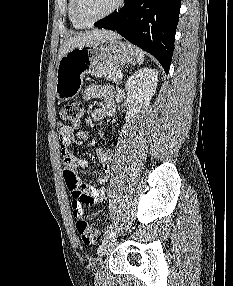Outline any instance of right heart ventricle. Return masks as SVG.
Segmentation results:
<instances>
[{
	"mask_svg": "<svg viewBox=\"0 0 233 286\" xmlns=\"http://www.w3.org/2000/svg\"><path fill=\"white\" fill-rule=\"evenodd\" d=\"M74 0H69L68 1V16H69V19L72 23V25L75 27V28H84L86 27L85 25L81 24L75 17L74 15Z\"/></svg>",
	"mask_w": 233,
	"mask_h": 286,
	"instance_id": "1",
	"label": "right heart ventricle"
}]
</instances>
